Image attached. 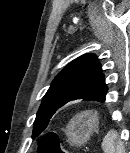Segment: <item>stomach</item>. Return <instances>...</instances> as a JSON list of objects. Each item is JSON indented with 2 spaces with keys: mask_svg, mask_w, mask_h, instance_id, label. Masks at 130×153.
<instances>
[{
  "mask_svg": "<svg viewBox=\"0 0 130 153\" xmlns=\"http://www.w3.org/2000/svg\"><path fill=\"white\" fill-rule=\"evenodd\" d=\"M99 117L97 112L85 111L77 114L68 123L65 134L72 145L85 144L90 136L98 131Z\"/></svg>",
  "mask_w": 130,
  "mask_h": 153,
  "instance_id": "1",
  "label": "stomach"
}]
</instances>
